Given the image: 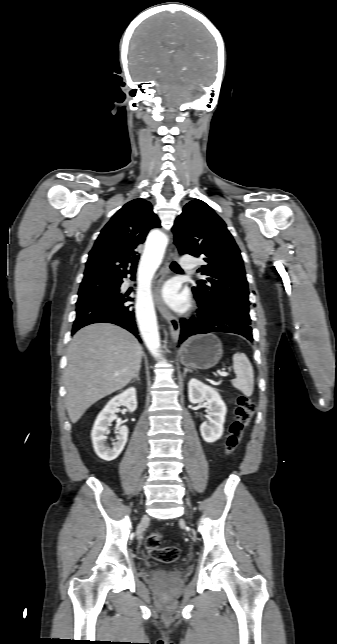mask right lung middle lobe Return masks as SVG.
Masks as SVG:
<instances>
[{
    "label": "right lung middle lobe",
    "mask_w": 337,
    "mask_h": 644,
    "mask_svg": "<svg viewBox=\"0 0 337 644\" xmlns=\"http://www.w3.org/2000/svg\"><path fill=\"white\" fill-rule=\"evenodd\" d=\"M118 279H97L82 282L78 292L77 305L87 303L114 294L117 291Z\"/></svg>",
    "instance_id": "dd1d6c3e"
}]
</instances>
